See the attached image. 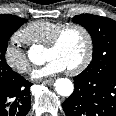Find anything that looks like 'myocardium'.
Wrapping results in <instances>:
<instances>
[{
	"label": "myocardium",
	"instance_id": "f54148a6",
	"mask_svg": "<svg viewBox=\"0 0 116 116\" xmlns=\"http://www.w3.org/2000/svg\"><path fill=\"white\" fill-rule=\"evenodd\" d=\"M69 29H78L81 31L85 38H86V52L81 60L80 63H78L76 66L67 69V73L74 75L78 74L81 71H83L87 66L90 64L93 54H94V41L91 32L83 25L78 23H67L61 26L52 36L51 40L48 42V44L45 46L46 49H55L60 41L64 33Z\"/></svg>",
	"mask_w": 116,
	"mask_h": 116
}]
</instances>
